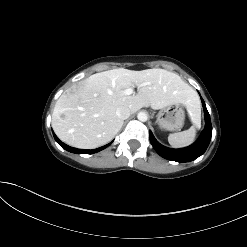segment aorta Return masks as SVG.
Returning a JSON list of instances; mask_svg holds the SVG:
<instances>
[{"mask_svg": "<svg viewBox=\"0 0 247 247\" xmlns=\"http://www.w3.org/2000/svg\"><path fill=\"white\" fill-rule=\"evenodd\" d=\"M137 118H138V120L145 122V121H147L148 116H147L146 112L141 111L138 113Z\"/></svg>", "mask_w": 247, "mask_h": 247, "instance_id": "1", "label": "aorta"}]
</instances>
